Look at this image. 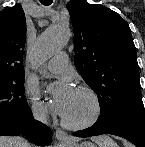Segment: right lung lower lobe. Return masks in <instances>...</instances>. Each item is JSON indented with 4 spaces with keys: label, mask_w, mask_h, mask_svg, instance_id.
Returning a JSON list of instances; mask_svg holds the SVG:
<instances>
[{
    "label": "right lung lower lobe",
    "mask_w": 145,
    "mask_h": 147,
    "mask_svg": "<svg viewBox=\"0 0 145 147\" xmlns=\"http://www.w3.org/2000/svg\"><path fill=\"white\" fill-rule=\"evenodd\" d=\"M33 121L32 112L29 108L27 113L20 117L0 120V136H19L25 134L26 138L36 145L47 146L51 144L49 128Z\"/></svg>",
    "instance_id": "1"
}]
</instances>
